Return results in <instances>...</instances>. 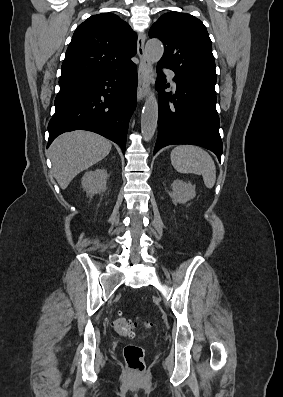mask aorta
<instances>
[{
	"mask_svg": "<svg viewBox=\"0 0 283 397\" xmlns=\"http://www.w3.org/2000/svg\"><path fill=\"white\" fill-rule=\"evenodd\" d=\"M163 45L157 39H150L145 46L147 58L157 63L163 55ZM158 120V101L153 92L149 93L141 114V133L145 141H150L155 134Z\"/></svg>",
	"mask_w": 283,
	"mask_h": 397,
	"instance_id": "1",
	"label": "aorta"
}]
</instances>
